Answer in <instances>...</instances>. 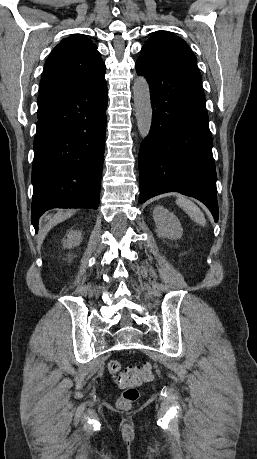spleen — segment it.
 <instances>
[{
  "mask_svg": "<svg viewBox=\"0 0 257 459\" xmlns=\"http://www.w3.org/2000/svg\"><path fill=\"white\" fill-rule=\"evenodd\" d=\"M176 204L180 206L190 216V218L194 220V222L201 226H205V216L195 203L184 196H179L176 200Z\"/></svg>",
  "mask_w": 257,
  "mask_h": 459,
  "instance_id": "spleen-1",
  "label": "spleen"
}]
</instances>
